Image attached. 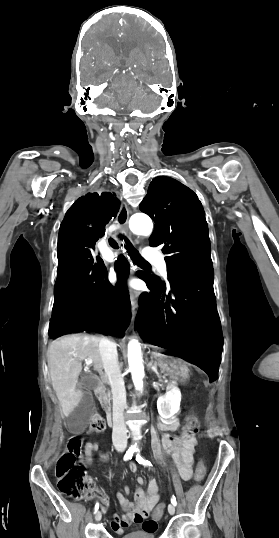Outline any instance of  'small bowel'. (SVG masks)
Segmentation results:
<instances>
[{
    "label": "small bowel",
    "instance_id": "c3829d8e",
    "mask_svg": "<svg viewBox=\"0 0 279 538\" xmlns=\"http://www.w3.org/2000/svg\"><path fill=\"white\" fill-rule=\"evenodd\" d=\"M159 427L168 433L162 437H158L154 432L152 448L155 457L160 459L165 452H171L181 479L188 481L192 477L193 450L196 444L195 438L180 437L175 434L179 429V425L176 422L160 423ZM96 451H98L97 443H87L85 445V457L83 462L85 464H90L92 461V453ZM100 458L103 461H106L108 460V455L100 453ZM129 469L132 473H135L137 471L136 464L131 463ZM137 481L140 485L144 484V479L142 477H138ZM124 490L125 493L128 494L129 488L127 486H125ZM159 491L160 485L158 481L156 479H151L146 490L141 486L136 489L134 504L131 503L125 495L118 493L117 499L123 510V514L114 517L111 522L112 530L117 534H123L129 526L134 523L140 525L145 531L154 532L157 528L156 522L152 519H148V517L159 500Z\"/></svg>",
    "mask_w": 279,
    "mask_h": 538
}]
</instances>
